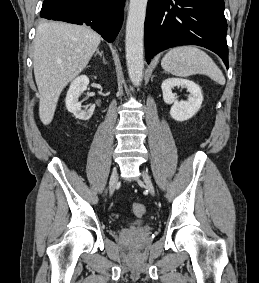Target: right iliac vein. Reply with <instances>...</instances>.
<instances>
[{
    "mask_svg": "<svg viewBox=\"0 0 259 283\" xmlns=\"http://www.w3.org/2000/svg\"><path fill=\"white\" fill-rule=\"evenodd\" d=\"M117 182H118V173H117V170L114 169L112 174H111L110 181H109V189H110V195L111 196L114 193Z\"/></svg>",
    "mask_w": 259,
    "mask_h": 283,
    "instance_id": "1",
    "label": "right iliac vein"
}]
</instances>
